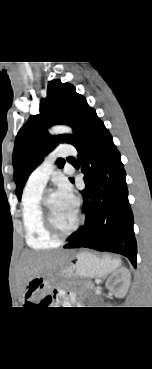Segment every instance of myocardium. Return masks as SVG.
Returning <instances> with one entry per match:
<instances>
[{
    "mask_svg": "<svg viewBox=\"0 0 152 369\" xmlns=\"http://www.w3.org/2000/svg\"><path fill=\"white\" fill-rule=\"evenodd\" d=\"M41 210L43 213V221L46 230L49 234L57 240H62L73 234L80 226L82 222V216L79 210L76 209V219L74 224L68 230H61L55 223L53 214L49 206V195H45L41 200Z\"/></svg>",
    "mask_w": 152,
    "mask_h": 369,
    "instance_id": "obj_1",
    "label": "myocardium"
}]
</instances>
